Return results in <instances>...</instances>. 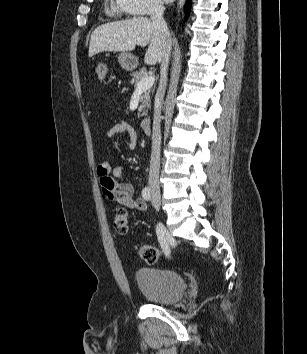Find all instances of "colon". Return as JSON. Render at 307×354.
<instances>
[{
    "mask_svg": "<svg viewBox=\"0 0 307 354\" xmlns=\"http://www.w3.org/2000/svg\"><path fill=\"white\" fill-rule=\"evenodd\" d=\"M94 71L100 79L106 78L109 71V64L106 61H99L94 66ZM113 227L118 234L124 235L128 232V213L124 208H117L113 215ZM139 257L147 263L159 261L161 253L155 246L143 244L138 247Z\"/></svg>",
    "mask_w": 307,
    "mask_h": 354,
    "instance_id": "1",
    "label": "colon"
}]
</instances>
